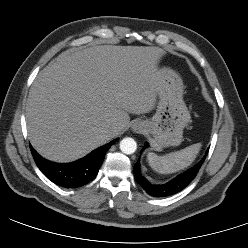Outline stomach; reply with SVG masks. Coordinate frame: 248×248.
Returning a JSON list of instances; mask_svg holds the SVG:
<instances>
[{"mask_svg":"<svg viewBox=\"0 0 248 248\" xmlns=\"http://www.w3.org/2000/svg\"><path fill=\"white\" fill-rule=\"evenodd\" d=\"M161 85L159 100L152 119L144 121L145 134L152 137L153 147L178 146L183 141V129L191 122L190 112L183 101L184 84L178 73L170 68L158 70Z\"/></svg>","mask_w":248,"mask_h":248,"instance_id":"obj_1","label":"stomach"}]
</instances>
